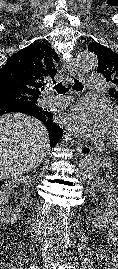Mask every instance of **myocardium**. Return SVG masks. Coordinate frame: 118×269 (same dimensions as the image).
I'll use <instances>...</instances> for the list:
<instances>
[{
	"instance_id": "1",
	"label": "myocardium",
	"mask_w": 118,
	"mask_h": 269,
	"mask_svg": "<svg viewBox=\"0 0 118 269\" xmlns=\"http://www.w3.org/2000/svg\"><path fill=\"white\" fill-rule=\"evenodd\" d=\"M114 115L118 117V109H115L114 110ZM110 143L115 146V147H118V139H111L110 140Z\"/></svg>"
}]
</instances>
